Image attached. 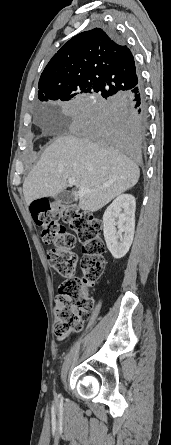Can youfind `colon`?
Segmentation results:
<instances>
[{
	"instance_id": "1",
	"label": "colon",
	"mask_w": 171,
	"mask_h": 445,
	"mask_svg": "<svg viewBox=\"0 0 171 445\" xmlns=\"http://www.w3.org/2000/svg\"><path fill=\"white\" fill-rule=\"evenodd\" d=\"M34 223L42 229V241L50 245L47 259L53 270L66 280L55 298L54 334L65 338L80 331L87 313L92 308L88 289L105 268V243L100 237L102 221L75 206L37 200L30 205ZM82 248L83 277L74 275L76 243Z\"/></svg>"
}]
</instances>
